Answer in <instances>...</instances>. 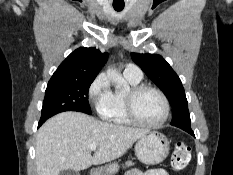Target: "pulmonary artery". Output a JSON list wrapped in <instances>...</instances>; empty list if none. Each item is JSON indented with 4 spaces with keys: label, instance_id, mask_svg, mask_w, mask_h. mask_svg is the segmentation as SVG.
Instances as JSON below:
<instances>
[{
    "label": "pulmonary artery",
    "instance_id": "obj_1",
    "mask_svg": "<svg viewBox=\"0 0 233 175\" xmlns=\"http://www.w3.org/2000/svg\"><path fill=\"white\" fill-rule=\"evenodd\" d=\"M124 75L139 80L142 78V72L140 68L132 63H129L125 66Z\"/></svg>",
    "mask_w": 233,
    "mask_h": 175
}]
</instances>
